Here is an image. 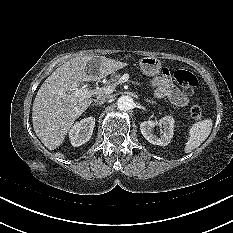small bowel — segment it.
Returning a JSON list of instances; mask_svg holds the SVG:
<instances>
[{
	"instance_id": "1",
	"label": "small bowel",
	"mask_w": 233,
	"mask_h": 233,
	"mask_svg": "<svg viewBox=\"0 0 233 233\" xmlns=\"http://www.w3.org/2000/svg\"><path fill=\"white\" fill-rule=\"evenodd\" d=\"M157 97H167L175 106L184 107L188 104V97L177 88L167 69L152 81Z\"/></svg>"
}]
</instances>
